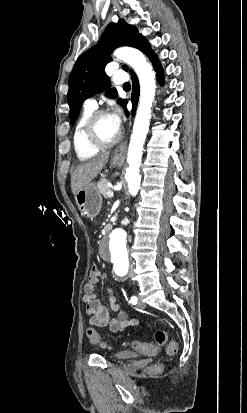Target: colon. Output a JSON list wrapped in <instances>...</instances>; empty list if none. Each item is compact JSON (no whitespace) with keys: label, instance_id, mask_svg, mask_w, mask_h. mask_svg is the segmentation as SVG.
Listing matches in <instances>:
<instances>
[{"label":"colon","instance_id":"5ec220e1","mask_svg":"<svg viewBox=\"0 0 247 413\" xmlns=\"http://www.w3.org/2000/svg\"><path fill=\"white\" fill-rule=\"evenodd\" d=\"M98 263L92 264V270L88 272V279L90 281H95L101 273L96 271V265ZM86 337L88 338L89 342L95 345L101 344V338L97 331L93 327H89L86 329ZM129 345L136 351L141 352L146 355H153L156 353H161V348H166L167 355H178L179 354V347L178 342L174 339H169L168 335L163 330H156L154 334V339L152 343L142 342L139 340H133L129 342ZM164 368L163 363H156L150 368L151 373L160 372Z\"/></svg>","mask_w":247,"mask_h":413}]
</instances>
